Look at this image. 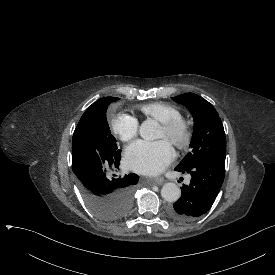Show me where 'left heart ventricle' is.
Instances as JSON below:
<instances>
[{
	"label": "left heart ventricle",
	"instance_id": "left-heart-ventricle-1",
	"mask_svg": "<svg viewBox=\"0 0 275 275\" xmlns=\"http://www.w3.org/2000/svg\"><path fill=\"white\" fill-rule=\"evenodd\" d=\"M162 137H165V132H164V130L161 128L160 131H159V134H158L157 138H162Z\"/></svg>",
	"mask_w": 275,
	"mask_h": 275
}]
</instances>
